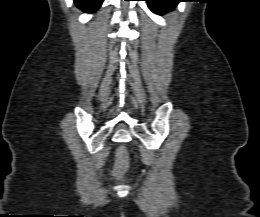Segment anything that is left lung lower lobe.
<instances>
[{
    "label": "left lung lower lobe",
    "mask_w": 260,
    "mask_h": 217,
    "mask_svg": "<svg viewBox=\"0 0 260 217\" xmlns=\"http://www.w3.org/2000/svg\"><path fill=\"white\" fill-rule=\"evenodd\" d=\"M148 7L156 14L162 15L173 10L180 0H145Z\"/></svg>",
    "instance_id": "left-lung-lower-lobe-1"
}]
</instances>
